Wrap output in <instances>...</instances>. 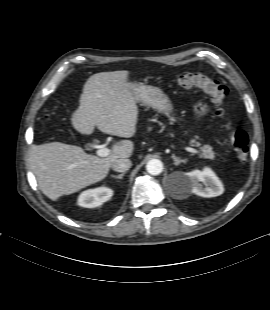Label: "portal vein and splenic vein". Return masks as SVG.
Wrapping results in <instances>:
<instances>
[{"label":"portal vein and splenic vein","mask_w":270,"mask_h":310,"mask_svg":"<svg viewBox=\"0 0 270 310\" xmlns=\"http://www.w3.org/2000/svg\"><path fill=\"white\" fill-rule=\"evenodd\" d=\"M188 152L190 153H193V154H197L199 153L198 150L194 149V148H191V147H186L185 148ZM96 154L97 156H100V157H106L110 154V150L107 149V148H98V150L96 151Z\"/></svg>","instance_id":"obj_1"}]
</instances>
